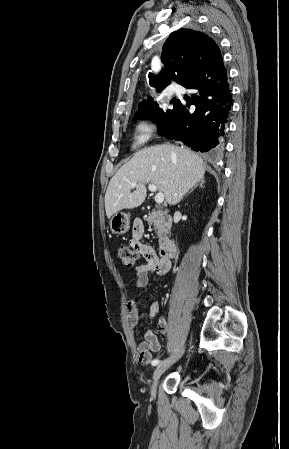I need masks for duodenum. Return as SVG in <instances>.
<instances>
[{
	"instance_id": "1",
	"label": "duodenum",
	"mask_w": 289,
	"mask_h": 449,
	"mask_svg": "<svg viewBox=\"0 0 289 449\" xmlns=\"http://www.w3.org/2000/svg\"><path fill=\"white\" fill-rule=\"evenodd\" d=\"M176 251L175 242L166 240L160 245V255L162 258L169 259L174 256Z\"/></svg>"
}]
</instances>
